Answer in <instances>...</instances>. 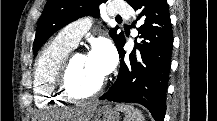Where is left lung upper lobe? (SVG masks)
Instances as JSON below:
<instances>
[{
	"instance_id": "5c2ea615",
	"label": "left lung upper lobe",
	"mask_w": 217,
	"mask_h": 121,
	"mask_svg": "<svg viewBox=\"0 0 217 121\" xmlns=\"http://www.w3.org/2000/svg\"><path fill=\"white\" fill-rule=\"evenodd\" d=\"M129 1V0H125ZM107 0H49L38 20L36 36L33 43L34 55L39 48L60 28L77 20L80 17L91 15L99 16V6ZM118 27L109 34L116 46L124 37L123 32L117 34Z\"/></svg>"
}]
</instances>
